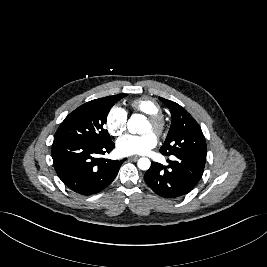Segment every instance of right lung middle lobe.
Listing matches in <instances>:
<instances>
[{"label":"right lung middle lobe","instance_id":"1","mask_svg":"<svg viewBox=\"0 0 267 267\" xmlns=\"http://www.w3.org/2000/svg\"><path fill=\"white\" fill-rule=\"evenodd\" d=\"M118 94L89 101L72 113L60 124L54 141H75L80 143L105 144L111 141L104 128L107 115L112 106L127 96Z\"/></svg>","mask_w":267,"mask_h":267}]
</instances>
